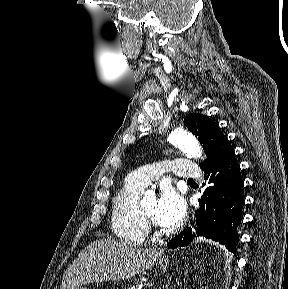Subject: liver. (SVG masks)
<instances>
[{
	"label": "liver",
	"instance_id": "liver-1",
	"mask_svg": "<svg viewBox=\"0 0 288 289\" xmlns=\"http://www.w3.org/2000/svg\"><path fill=\"white\" fill-rule=\"evenodd\" d=\"M163 252L161 248L144 249L111 239L94 241L67 268L60 289L131 278L151 268Z\"/></svg>",
	"mask_w": 288,
	"mask_h": 289
}]
</instances>
